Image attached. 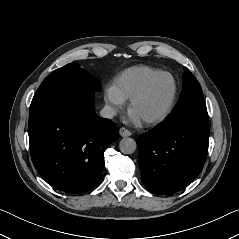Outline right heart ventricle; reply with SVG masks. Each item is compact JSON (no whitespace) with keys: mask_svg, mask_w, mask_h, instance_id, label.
<instances>
[{"mask_svg":"<svg viewBox=\"0 0 239 239\" xmlns=\"http://www.w3.org/2000/svg\"><path fill=\"white\" fill-rule=\"evenodd\" d=\"M157 72H159V70L148 66H135L128 68L116 77L114 87L124 99H129Z\"/></svg>","mask_w":239,"mask_h":239,"instance_id":"e07e8e85","label":"right heart ventricle"}]
</instances>
